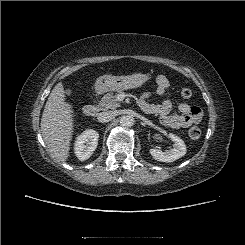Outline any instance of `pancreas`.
Returning a JSON list of instances; mask_svg holds the SVG:
<instances>
[{"label": "pancreas", "mask_w": 245, "mask_h": 245, "mask_svg": "<svg viewBox=\"0 0 245 245\" xmlns=\"http://www.w3.org/2000/svg\"><path fill=\"white\" fill-rule=\"evenodd\" d=\"M122 91H118V94ZM120 107V103L117 100V94L107 93L105 94L99 102V108L101 110L116 109Z\"/></svg>", "instance_id": "cf45deb5"}]
</instances>
